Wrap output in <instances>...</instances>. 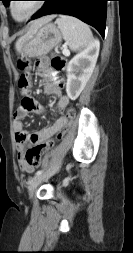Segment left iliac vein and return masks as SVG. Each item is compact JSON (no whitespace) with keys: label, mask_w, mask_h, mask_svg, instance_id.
Listing matches in <instances>:
<instances>
[{"label":"left iliac vein","mask_w":133,"mask_h":253,"mask_svg":"<svg viewBox=\"0 0 133 253\" xmlns=\"http://www.w3.org/2000/svg\"><path fill=\"white\" fill-rule=\"evenodd\" d=\"M61 166V162L57 163L55 166H53L50 170H48L45 173H42L41 175H37L35 176L30 182H29V186H28V190H29V196L30 198H32L33 193L35 191V189L44 181L48 180L51 176H53L58 169Z\"/></svg>","instance_id":"1"}]
</instances>
